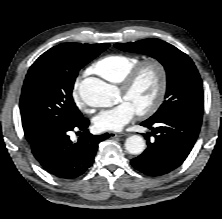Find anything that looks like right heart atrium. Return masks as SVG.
I'll use <instances>...</instances> for the list:
<instances>
[{"label": "right heart atrium", "mask_w": 222, "mask_h": 219, "mask_svg": "<svg viewBox=\"0 0 222 219\" xmlns=\"http://www.w3.org/2000/svg\"><path fill=\"white\" fill-rule=\"evenodd\" d=\"M74 99L79 105H83L86 102L84 95L78 91V84H76V87L74 90Z\"/></svg>", "instance_id": "obj_1"}]
</instances>
